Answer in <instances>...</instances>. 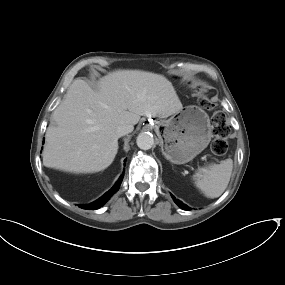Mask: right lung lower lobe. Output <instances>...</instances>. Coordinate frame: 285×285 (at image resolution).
I'll use <instances>...</instances> for the list:
<instances>
[{"mask_svg": "<svg viewBox=\"0 0 285 285\" xmlns=\"http://www.w3.org/2000/svg\"><path fill=\"white\" fill-rule=\"evenodd\" d=\"M123 177H124V173L120 176L116 184L109 191H107L103 196H101L99 199H97L96 201L90 204L79 205V207L83 209H89V210L90 209L96 210L102 207L111 198V196L119 189Z\"/></svg>", "mask_w": 285, "mask_h": 285, "instance_id": "98d812e1", "label": "right lung lower lobe"}]
</instances>
